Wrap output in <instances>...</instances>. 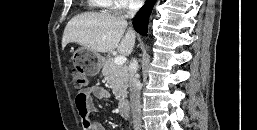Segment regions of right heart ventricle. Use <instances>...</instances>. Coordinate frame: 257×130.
<instances>
[{
    "label": "right heart ventricle",
    "mask_w": 257,
    "mask_h": 130,
    "mask_svg": "<svg viewBox=\"0 0 257 130\" xmlns=\"http://www.w3.org/2000/svg\"><path fill=\"white\" fill-rule=\"evenodd\" d=\"M89 5L97 9H108L110 8V0H88Z\"/></svg>",
    "instance_id": "1"
}]
</instances>
